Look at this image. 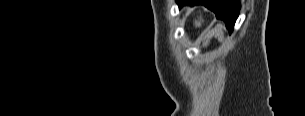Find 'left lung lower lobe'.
Here are the masks:
<instances>
[{"label": "left lung lower lobe", "mask_w": 305, "mask_h": 116, "mask_svg": "<svg viewBox=\"0 0 305 116\" xmlns=\"http://www.w3.org/2000/svg\"><path fill=\"white\" fill-rule=\"evenodd\" d=\"M177 2L180 7L186 4L205 5L216 14L217 18L225 22L230 32L233 30L240 10L239 0H178Z\"/></svg>", "instance_id": "obj_1"}]
</instances>
